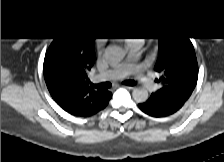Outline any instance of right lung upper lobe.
Listing matches in <instances>:
<instances>
[{"mask_svg":"<svg viewBox=\"0 0 224 162\" xmlns=\"http://www.w3.org/2000/svg\"><path fill=\"white\" fill-rule=\"evenodd\" d=\"M88 30H73L55 40L44 59V78L56 103L74 116L88 117L105 108L112 97L94 90L87 76L94 64V39Z\"/></svg>","mask_w":224,"mask_h":162,"instance_id":"obj_1","label":"right lung upper lobe"}]
</instances>
